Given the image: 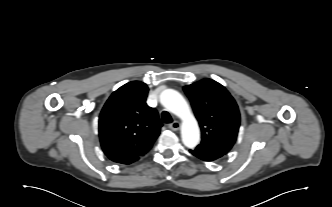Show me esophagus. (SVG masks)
<instances>
[{"mask_svg":"<svg viewBox=\"0 0 332 207\" xmlns=\"http://www.w3.org/2000/svg\"><path fill=\"white\" fill-rule=\"evenodd\" d=\"M169 128L173 131H177L180 128V123L178 121H174L169 124Z\"/></svg>","mask_w":332,"mask_h":207,"instance_id":"34e87169","label":"esophagus"}]
</instances>
